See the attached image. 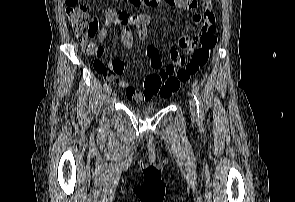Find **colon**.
<instances>
[{"label":"colon","mask_w":295,"mask_h":202,"mask_svg":"<svg viewBox=\"0 0 295 202\" xmlns=\"http://www.w3.org/2000/svg\"><path fill=\"white\" fill-rule=\"evenodd\" d=\"M134 6L155 7L160 0H127ZM67 17L76 38L87 45L96 36L98 25L95 18L91 17L84 5L78 4L77 0H66ZM133 21V18H129ZM199 46L193 51L191 60L185 64L181 56L177 61V66H183L175 71V66L170 65L166 70L158 74H150L144 80L145 90H151L154 94H159L163 98L173 96L182 84L188 83L192 76L197 74L209 61L211 50L217 43L216 27L213 23L205 25L198 38ZM99 63V62H98ZM109 67V66H107ZM104 69V68H103Z\"/></svg>","instance_id":"obj_1"}]
</instances>
